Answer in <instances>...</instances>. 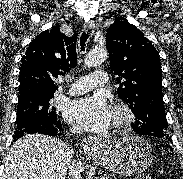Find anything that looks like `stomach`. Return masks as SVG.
Returning <instances> with one entry per match:
<instances>
[{"label": "stomach", "instance_id": "0dacf381", "mask_svg": "<svg viewBox=\"0 0 183 179\" xmlns=\"http://www.w3.org/2000/svg\"><path fill=\"white\" fill-rule=\"evenodd\" d=\"M94 157L110 171L129 176L145 171L153 160L150 144L139 136L124 137L110 146H101Z\"/></svg>", "mask_w": 183, "mask_h": 179}]
</instances>
